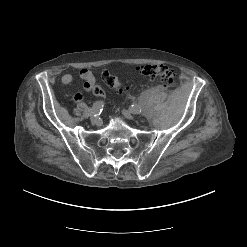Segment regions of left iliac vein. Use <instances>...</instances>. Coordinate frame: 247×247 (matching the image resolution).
Listing matches in <instances>:
<instances>
[{
  "mask_svg": "<svg viewBox=\"0 0 247 247\" xmlns=\"http://www.w3.org/2000/svg\"><path fill=\"white\" fill-rule=\"evenodd\" d=\"M122 114L127 118V119H132L133 116H132V113L130 112V110H122Z\"/></svg>",
  "mask_w": 247,
  "mask_h": 247,
  "instance_id": "left-iliac-vein-1",
  "label": "left iliac vein"
}]
</instances>
